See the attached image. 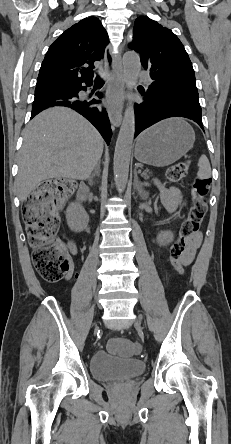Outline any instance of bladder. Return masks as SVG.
Masks as SVG:
<instances>
[{
  "label": "bladder",
  "instance_id": "1",
  "mask_svg": "<svg viewBox=\"0 0 231 444\" xmlns=\"http://www.w3.org/2000/svg\"><path fill=\"white\" fill-rule=\"evenodd\" d=\"M90 369L95 379L111 381L139 376L144 373L146 365L137 359H121L105 350H98L91 357Z\"/></svg>",
  "mask_w": 231,
  "mask_h": 444
}]
</instances>
